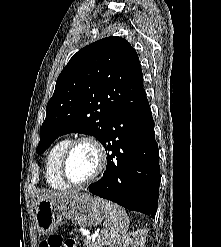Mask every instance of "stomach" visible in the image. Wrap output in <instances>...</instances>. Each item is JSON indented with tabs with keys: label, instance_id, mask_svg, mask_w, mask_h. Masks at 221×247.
Returning a JSON list of instances; mask_svg holds the SVG:
<instances>
[{
	"label": "stomach",
	"instance_id": "stomach-1",
	"mask_svg": "<svg viewBox=\"0 0 221 247\" xmlns=\"http://www.w3.org/2000/svg\"><path fill=\"white\" fill-rule=\"evenodd\" d=\"M105 202L87 193H77L60 201L42 200L36 207V227L40 233L48 234L64 221L83 227L96 226L104 219Z\"/></svg>",
	"mask_w": 221,
	"mask_h": 247
}]
</instances>
